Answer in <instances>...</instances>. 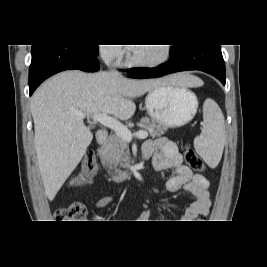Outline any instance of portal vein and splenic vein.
<instances>
[{
	"label": "portal vein and splenic vein",
	"mask_w": 267,
	"mask_h": 267,
	"mask_svg": "<svg viewBox=\"0 0 267 267\" xmlns=\"http://www.w3.org/2000/svg\"><path fill=\"white\" fill-rule=\"evenodd\" d=\"M77 115L82 118L86 117V115L83 113H79ZM91 118L94 121L99 122L103 126L114 130L119 137L126 141H131L133 136L139 139H146L148 137V132L146 131H138L132 134L131 131L128 130V128L124 126L120 121L111 116H108L106 113L93 114Z\"/></svg>",
	"instance_id": "18ae733b"
}]
</instances>
